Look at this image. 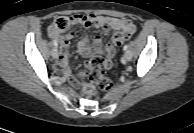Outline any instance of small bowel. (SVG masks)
Wrapping results in <instances>:
<instances>
[{"mask_svg": "<svg viewBox=\"0 0 194 133\" xmlns=\"http://www.w3.org/2000/svg\"><path fill=\"white\" fill-rule=\"evenodd\" d=\"M71 24H79L84 28H90L92 26L100 29L103 34H108L110 30L116 32H127L133 34L136 27L133 22L124 18H116L104 15L95 14H74L70 18ZM49 33L56 41L59 42L64 53L60 56L58 60V66L63 71L66 76L70 75L68 57L66 49L69 45V40L72 38V33L69 32L65 35H60L54 31L52 26L49 28ZM78 51L83 56H89L91 53H105L104 67L110 69L112 67V59L115 54V46L113 43H108L104 47L102 46V40L100 37L96 36L92 40L91 45H89V39L84 36L78 43Z\"/></svg>", "mask_w": 194, "mask_h": 133, "instance_id": "small-bowel-1", "label": "small bowel"}]
</instances>
